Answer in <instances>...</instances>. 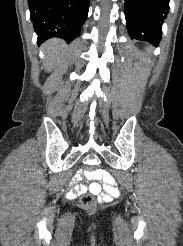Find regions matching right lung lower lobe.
<instances>
[{
  "label": "right lung lower lobe",
  "instance_id": "1",
  "mask_svg": "<svg viewBox=\"0 0 183 246\" xmlns=\"http://www.w3.org/2000/svg\"><path fill=\"white\" fill-rule=\"evenodd\" d=\"M28 5L38 44L51 37L70 43L79 36L89 10V0H28Z\"/></svg>",
  "mask_w": 183,
  "mask_h": 246
}]
</instances>
